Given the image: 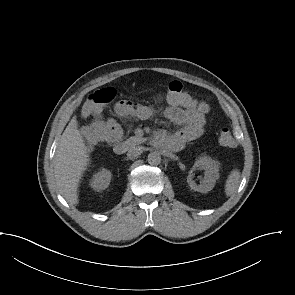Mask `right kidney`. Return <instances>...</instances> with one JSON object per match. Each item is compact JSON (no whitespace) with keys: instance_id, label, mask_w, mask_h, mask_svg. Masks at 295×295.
<instances>
[{"instance_id":"obj_1","label":"right kidney","mask_w":295,"mask_h":295,"mask_svg":"<svg viewBox=\"0 0 295 295\" xmlns=\"http://www.w3.org/2000/svg\"><path fill=\"white\" fill-rule=\"evenodd\" d=\"M111 176L112 174L109 170L102 169L93 175L90 185L95 191H102L109 186Z\"/></svg>"}]
</instances>
